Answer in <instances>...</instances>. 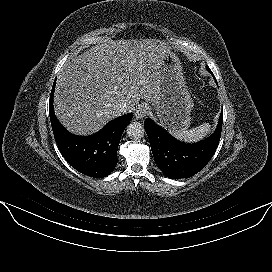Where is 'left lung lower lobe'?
<instances>
[{"instance_id":"0a47b994","label":"left lung lower lobe","mask_w":272,"mask_h":272,"mask_svg":"<svg viewBox=\"0 0 272 272\" xmlns=\"http://www.w3.org/2000/svg\"><path fill=\"white\" fill-rule=\"evenodd\" d=\"M223 123V109L215 132L207 139L186 144L173 138L151 119L144 122L154 160L171 179L189 178L202 170L218 147Z\"/></svg>"}]
</instances>
